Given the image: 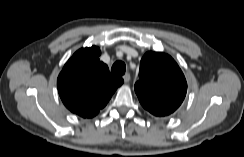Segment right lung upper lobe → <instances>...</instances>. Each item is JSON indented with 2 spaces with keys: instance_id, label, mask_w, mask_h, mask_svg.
<instances>
[{
  "instance_id": "right-lung-upper-lobe-1",
  "label": "right lung upper lobe",
  "mask_w": 244,
  "mask_h": 157,
  "mask_svg": "<svg viewBox=\"0 0 244 157\" xmlns=\"http://www.w3.org/2000/svg\"><path fill=\"white\" fill-rule=\"evenodd\" d=\"M96 46L78 50L58 76L57 87L64 105L73 113L91 118L110 100L123 79L110 74L99 60Z\"/></svg>"
}]
</instances>
